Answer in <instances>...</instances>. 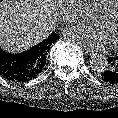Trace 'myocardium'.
I'll return each instance as SVG.
<instances>
[{"instance_id":"obj_1","label":"myocardium","mask_w":118,"mask_h":118,"mask_svg":"<svg viewBox=\"0 0 118 118\" xmlns=\"http://www.w3.org/2000/svg\"><path fill=\"white\" fill-rule=\"evenodd\" d=\"M116 7H118V0H112L107 5H105L104 7L101 8V12H103L104 14L109 15L115 10ZM112 47L114 49L118 50V44L113 45Z\"/></svg>"}]
</instances>
